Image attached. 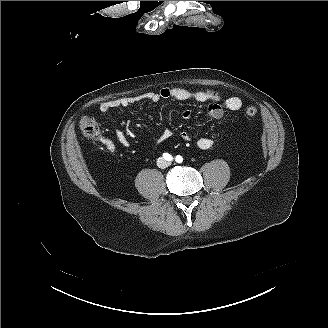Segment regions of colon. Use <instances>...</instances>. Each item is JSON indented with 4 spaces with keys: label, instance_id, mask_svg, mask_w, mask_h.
Segmentation results:
<instances>
[{
    "label": "colon",
    "instance_id": "1",
    "mask_svg": "<svg viewBox=\"0 0 328 328\" xmlns=\"http://www.w3.org/2000/svg\"><path fill=\"white\" fill-rule=\"evenodd\" d=\"M245 113L248 117H254L257 114V108L254 106H249L246 108ZM79 125L84 137L88 139H94L97 137L99 133V126L93 118L84 116L81 118Z\"/></svg>",
    "mask_w": 328,
    "mask_h": 328
}]
</instances>
